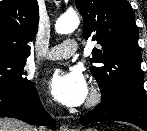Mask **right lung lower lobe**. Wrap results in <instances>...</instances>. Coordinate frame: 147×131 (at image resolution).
Wrapping results in <instances>:
<instances>
[{
	"label": "right lung lower lobe",
	"mask_w": 147,
	"mask_h": 131,
	"mask_svg": "<svg viewBox=\"0 0 147 131\" xmlns=\"http://www.w3.org/2000/svg\"><path fill=\"white\" fill-rule=\"evenodd\" d=\"M0 117L55 128V122L45 112L34 85L27 90L0 88Z\"/></svg>",
	"instance_id": "1"
}]
</instances>
